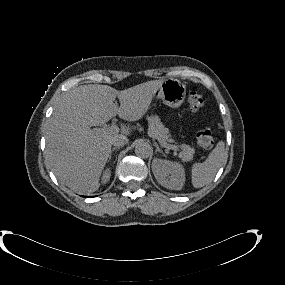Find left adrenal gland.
Returning <instances> with one entry per match:
<instances>
[{
    "label": "left adrenal gland",
    "mask_w": 285,
    "mask_h": 285,
    "mask_svg": "<svg viewBox=\"0 0 285 285\" xmlns=\"http://www.w3.org/2000/svg\"><path fill=\"white\" fill-rule=\"evenodd\" d=\"M156 151L162 152V150L160 149V147L156 144Z\"/></svg>",
    "instance_id": "a2214340"
}]
</instances>
